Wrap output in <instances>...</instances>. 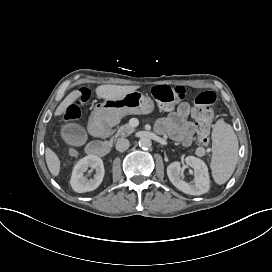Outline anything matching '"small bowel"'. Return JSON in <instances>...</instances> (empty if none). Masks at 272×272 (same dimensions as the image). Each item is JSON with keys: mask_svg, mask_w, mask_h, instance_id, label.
I'll list each match as a JSON object with an SVG mask.
<instances>
[{"mask_svg": "<svg viewBox=\"0 0 272 272\" xmlns=\"http://www.w3.org/2000/svg\"><path fill=\"white\" fill-rule=\"evenodd\" d=\"M155 129L160 134H167L183 146H189L194 133L198 131L197 108L182 102L175 110L168 111L167 116L160 118L155 124Z\"/></svg>", "mask_w": 272, "mask_h": 272, "instance_id": "small-bowel-1", "label": "small bowel"}]
</instances>
